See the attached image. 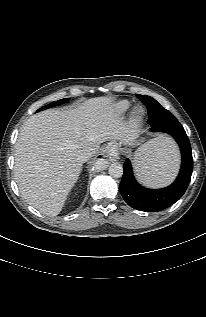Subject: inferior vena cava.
<instances>
[{"label":"inferior vena cava","mask_w":206,"mask_h":317,"mask_svg":"<svg viewBox=\"0 0 206 317\" xmlns=\"http://www.w3.org/2000/svg\"><path fill=\"white\" fill-rule=\"evenodd\" d=\"M93 155V151L91 150H81L78 154H77V159L81 162L84 163L86 162L90 157H92Z\"/></svg>","instance_id":"602c4592"}]
</instances>
